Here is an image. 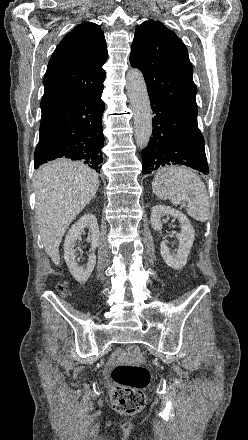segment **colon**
Here are the masks:
<instances>
[{"mask_svg": "<svg viewBox=\"0 0 248 440\" xmlns=\"http://www.w3.org/2000/svg\"><path fill=\"white\" fill-rule=\"evenodd\" d=\"M68 284L61 283L58 290L64 294ZM140 350L132 345L126 349L128 362L115 366L111 377L112 405L120 414L130 415L139 412L145 405L144 389L150 382V372L147 367L138 361Z\"/></svg>", "mask_w": 248, "mask_h": 440, "instance_id": "colon-1", "label": "colon"}]
</instances>
